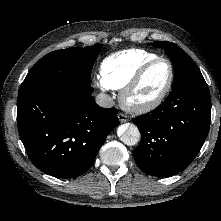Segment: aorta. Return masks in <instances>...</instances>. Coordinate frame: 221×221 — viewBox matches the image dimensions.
I'll return each instance as SVG.
<instances>
[{"label": "aorta", "mask_w": 221, "mask_h": 221, "mask_svg": "<svg viewBox=\"0 0 221 221\" xmlns=\"http://www.w3.org/2000/svg\"><path fill=\"white\" fill-rule=\"evenodd\" d=\"M117 133L120 140L128 146L136 145L141 138L139 129L135 124L132 123H126L121 125L118 128Z\"/></svg>", "instance_id": "1"}]
</instances>
